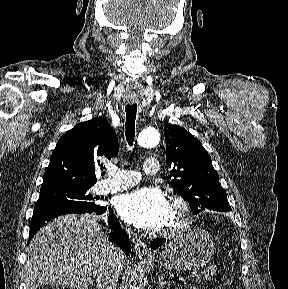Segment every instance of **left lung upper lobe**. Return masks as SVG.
Here are the masks:
<instances>
[{
	"mask_svg": "<svg viewBox=\"0 0 288 289\" xmlns=\"http://www.w3.org/2000/svg\"><path fill=\"white\" fill-rule=\"evenodd\" d=\"M164 134L172 182L179 195L193 206L194 214L206 209L231 211L219 175L200 141L176 125L167 124Z\"/></svg>",
	"mask_w": 288,
	"mask_h": 289,
	"instance_id": "1",
	"label": "left lung upper lobe"
}]
</instances>
